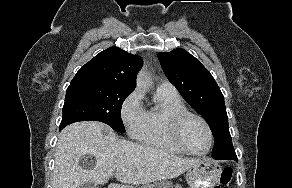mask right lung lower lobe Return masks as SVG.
Masks as SVG:
<instances>
[{"mask_svg":"<svg viewBox=\"0 0 292 188\" xmlns=\"http://www.w3.org/2000/svg\"><path fill=\"white\" fill-rule=\"evenodd\" d=\"M64 128V127H63ZM62 129V127H59V130H61Z\"/></svg>","mask_w":292,"mask_h":188,"instance_id":"right-lung-lower-lobe-1","label":"right lung lower lobe"}]
</instances>
